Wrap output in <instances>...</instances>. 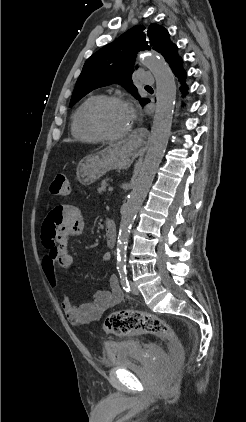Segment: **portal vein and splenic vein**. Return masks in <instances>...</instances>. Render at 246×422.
Masks as SVG:
<instances>
[{
	"label": "portal vein and splenic vein",
	"instance_id": "18ae733b",
	"mask_svg": "<svg viewBox=\"0 0 246 422\" xmlns=\"http://www.w3.org/2000/svg\"><path fill=\"white\" fill-rule=\"evenodd\" d=\"M108 191H109V192H112V191H113V187H109V188H108Z\"/></svg>",
	"mask_w": 246,
	"mask_h": 422
}]
</instances>
